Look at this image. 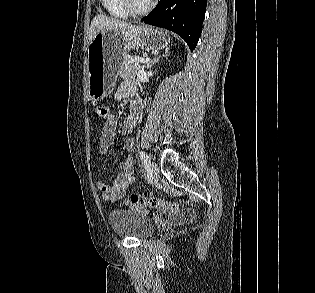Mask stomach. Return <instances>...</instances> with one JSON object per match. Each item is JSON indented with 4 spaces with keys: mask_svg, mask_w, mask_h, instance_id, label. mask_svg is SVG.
Wrapping results in <instances>:
<instances>
[{
    "mask_svg": "<svg viewBox=\"0 0 315 293\" xmlns=\"http://www.w3.org/2000/svg\"><path fill=\"white\" fill-rule=\"evenodd\" d=\"M169 35L147 25H131L100 31L88 46V95L93 101L107 97L114 89L122 59L131 50H161Z\"/></svg>",
    "mask_w": 315,
    "mask_h": 293,
    "instance_id": "0dacf381",
    "label": "stomach"
}]
</instances>
